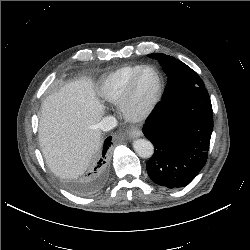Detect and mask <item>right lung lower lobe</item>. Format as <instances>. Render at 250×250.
Masks as SVG:
<instances>
[{
    "instance_id": "obj_1",
    "label": "right lung lower lobe",
    "mask_w": 250,
    "mask_h": 250,
    "mask_svg": "<svg viewBox=\"0 0 250 250\" xmlns=\"http://www.w3.org/2000/svg\"><path fill=\"white\" fill-rule=\"evenodd\" d=\"M111 146V136L108 137L103 146L100 160L97 162L92 174L82 187L85 194L93 193L101 188L107 177V151Z\"/></svg>"
}]
</instances>
